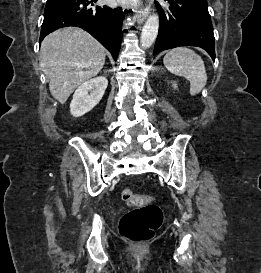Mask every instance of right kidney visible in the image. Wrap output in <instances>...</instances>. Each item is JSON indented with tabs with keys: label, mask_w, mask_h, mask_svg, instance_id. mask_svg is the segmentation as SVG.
<instances>
[{
	"label": "right kidney",
	"mask_w": 261,
	"mask_h": 273,
	"mask_svg": "<svg viewBox=\"0 0 261 273\" xmlns=\"http://www.w3.org/2000/svg\"><path fill=\"white\" fill-rule=\"evenodd\" d=\"M108 85L104 76L90 79L81 84L73 95L70 112L74 117H80L91 111L102 99Z\"/></svg>",
	"instance_id": "ca27d5eb"
}]
</instances>
